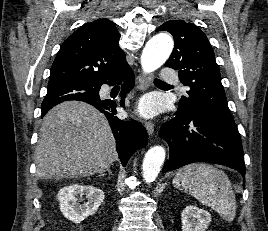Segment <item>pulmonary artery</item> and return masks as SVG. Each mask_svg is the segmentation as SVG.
<instances>
[{
	"instance_id": "pulmonary-artery-1",
	"label": "pulmonary artery",
	"mask_w": 268,
	"mask_h": 231,
	"mask_svg": "<svg viewBox=\"0 0 268 231\" xmlns=\"http://www.w3.org/2000/svg\"><path fill=\"white\" fill-rule=\"evenodd\" d=\"M162 77L166 82L170 83H175L178 79L176 72L172 71L169 67L164 68Z\"/></svg>"
}]
</instances>
